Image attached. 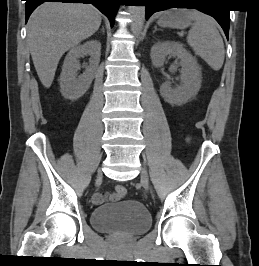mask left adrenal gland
<instances>
[{
    "label": "left adrenal gland",
    "mask_w": 259,
    "mask_h": 266,
    "mask_svg": "<svg viewBox=\"0 0 259 266\" xmlns=\"http://www.w3.org/2000/svg\"><path fill=\"white\" fill-rule=\"evenodd\" d=\"M154 28H155L154 32L158 30L156 26Z\"/></svg>",
    "instance_id": "1"
}]
</instances>
